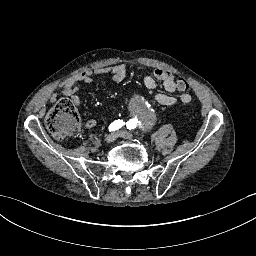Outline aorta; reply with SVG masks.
I'll return each instance as SVG.
<instances>
[{
    "label": "aorta",
    "instance_id": "aorta-1",
    "mask_svg": "<svg viewBox=\"0 0 256 256\" xmlns=\"http://www.w3.org/2000/svg\"><path fill=\"white\" fill-rule=\"evenodd\" d=\"M130 113L136 116L143 115L142 126L147 131H154L159 126L160 111L155 106H150L147 96L136 93L130 96L127 102Z\"/></svg>",
    "mask_w": 256,
    "mask_h": 256
}]
</instances>
